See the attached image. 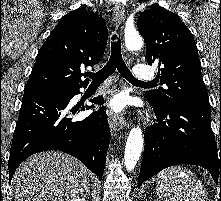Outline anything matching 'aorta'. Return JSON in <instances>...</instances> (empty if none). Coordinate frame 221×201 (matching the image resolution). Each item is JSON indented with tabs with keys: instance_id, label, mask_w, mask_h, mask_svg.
Returning <instances> with one entry per match:
<instances>
[{
	"instance_id": "obj_1",
	"label": "aorta",
	"mask_w": 221,
	"mask_h": 201,
	"mask_svg": "<svg viewBox=\"0 0 221 201\" xmlns=\"http://www.w3.org/2000/svg\"><path fill=\"white\" fill-rule=\"evenodd\" d=\"M125 44L129 50L137 51L143 47V39L136 33L126 37ZM143 144L144 139L141 128L133 127L128 135L124 153V165L128 172H131L135 168L140 158Z\"/></svg>"
}]
</instances>
